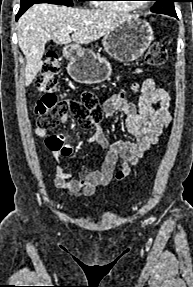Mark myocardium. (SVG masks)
Here are the masks:
<instances>
[{
	"label": "myocardium",
	"instance_id": "f54148a6",
	"mask_svg": "<svg viewBox=\"0 0 193 287\" xmlns=\"http://www.w3.org/2000/svg\"><path fill=\"white\" fill-rule=\"evenodd\" d=\"M135 7H138V6H140V5H134Z\"/></svg>",
	"mask_w": 193,
	"mask_h": 287
}]
</instances>
